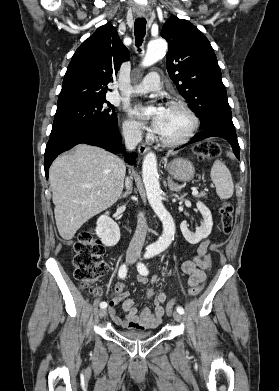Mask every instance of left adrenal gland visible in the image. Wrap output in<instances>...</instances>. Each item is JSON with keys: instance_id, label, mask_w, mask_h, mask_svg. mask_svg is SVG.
I'll list each match as a JSON object with an SVG mask.
<instances>
[{"instance_id": "1", "label": "left adrenal gland", "mask_w": 279, "mask_h": 391, "mask_svg": "<svg viewBox=\"0 0 279 391\" xmlns=\"http://www.w3.org/2000/svg\"><path fill=\"white\" fill-rule=\"evenodd\" d=\"M167 180H168V188H169V190L175 191V192L180 191V187H177V186L173 183V180H172L170 177H168Z\"/></svg>"}]
</instances>
